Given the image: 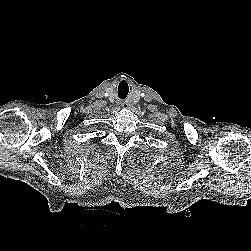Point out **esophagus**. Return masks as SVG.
I'll use <instances>...</instances> for the list:
<instances>
[{
	"label": "esophagus",
	"mask_w": 251,
	"mask_h": 251,
	"mask_svg": "<svg viewBox=\"0 0 251 251\" xmlns=\"http://www.w3.org/2000/svg\"><path fill=\"white\" fill-rule=\"evenodd\" d=\"M119 107L128 109L131 107V104H129L127 102H121V103H119Z\"/></svg>",
	"instance_id": "34e87169"
}]
</instances>
